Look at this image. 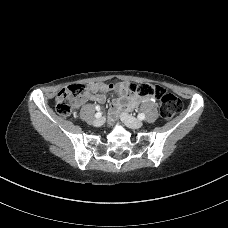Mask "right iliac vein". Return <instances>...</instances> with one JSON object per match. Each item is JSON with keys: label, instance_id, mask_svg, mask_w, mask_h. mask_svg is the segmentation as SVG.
I'll return each mask as SVG.
<instances>
[{"label": "right iliac vein", "instance_id": "right-iliac-vein-1", "mask_svg": "<svg viewBox=\"0 0 228 228\" xmlns=\"http://www.w3.org/2000/svg\"><path fill=\"white\" fill-rule=\"evenodd\" d=\"M104 123V119L103 118H98L96 119L94 122H93V125L96 126V127H100L102 126Z\"/></svg>", "mask_w": 228, "mask_h": 228}]
</instances>
